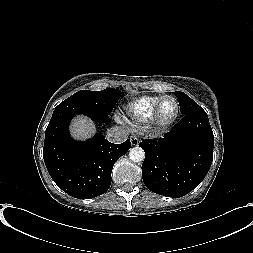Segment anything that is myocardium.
<instances>
[{"instance_id":"obj_1","label":"myocardium","mask_w":253,"mask_h":253,"mask_svg":"<svg viewBox=\"0 0 253 253\" xmlns=\"http://www.w3.org/2000/svg\"><path fill=\"white\" fill-rule=\"evenodd\" d=\"M166 99H172L175 102L176 111H175V114L170 119L162 120L159 115L160 108H161L163 101ZM179 113H180V105H179L177 98L172 95H164V96L160 97V99L158 100V102L156 103V105L152 111V114H151V117L149 120L150 125L155 131L165 130L168 127H170L177 120Z\"/></svg>"}]
</instances>
